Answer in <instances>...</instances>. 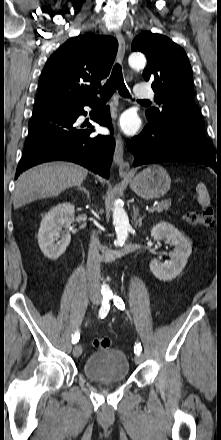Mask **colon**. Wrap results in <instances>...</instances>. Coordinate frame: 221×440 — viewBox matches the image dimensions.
Listing matches in <instances>:
<instances>
[{
    "mask_svg": "<svg viewBox=\"0 0 221 440\" xmlns=\"http://www.w3.org/2000/svg\"><path fill=\"white\" fill-rule=\"evenodd\" d=\"M183 218L189 225H200L204 227L212 226L215 221L214 212L212 210L189 211L184 214ZM92 345L96 349L105 350L111 346V340L109 338H96L93 340Z\"/></svg>",
    "mask_w": 221,
    "mask_h": 440,
    "instance_id": "5ec220e1",
    "label": "colon"
}]
</instances>
